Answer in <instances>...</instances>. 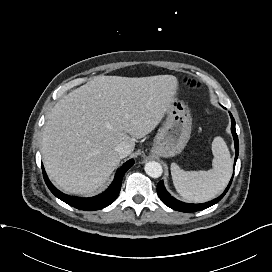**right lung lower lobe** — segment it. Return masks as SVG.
I'll return each instance as SVG.
<instances>
[{
    "instance_id": "right-lung-lower-lobe-1",
    "label": "right lung lower lobe",
    "mask_w": 272,
    "mask_h": 272,
    "mask_svg": "<svg viewBox=\"0 0 272 272\" xmlns=\"http://www.w3.org/2000/svg\"><path fill=\"white\" fill-rule=\"evenodd\" d=\"M134 164V160L130 159L125 164L120 167V169L115 174L114 181L110 185V187L102 194L91 197V198H78L73 196H68L62 192H60L58 189H56L52 183L49 181L46 172L44 170V167L42 165V171L44 180L50 189V191L59 199L64 201L65 203L69 204L72 207H75L77 209L85 210V211H93V210H99L102 209L108 205H110L118 196L120 189H121V183L122 178L125 174V172Z\"/></svg>"
}]
</instances>
